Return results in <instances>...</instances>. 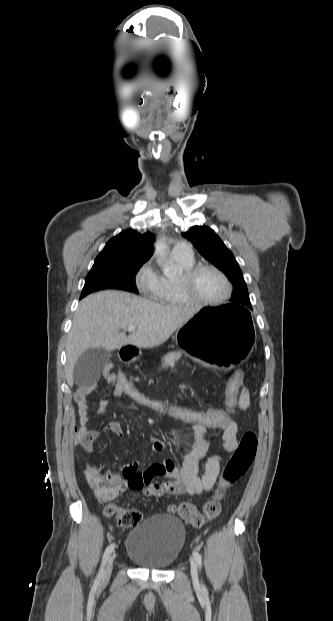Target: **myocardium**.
I'll list each match as a JSON object with an SVG mask.
<instances>
[{"label": "myocardium", "instance_id": "f54148a6", "mask_svg": "<svg viewBox=\"0 0 333 621\" xmlns=\"http://www.w3.org/2000/svg\"><path fill=\"white\" fill-rule=\"evenodd\" d=\"M213 271L219 275L226 284L227 290L224 296L218 300H203L194 293V282L196 277L203 271ZM179 285L183 296L190 304L200 306H217L226 303L232 295L233 285L227 275L218 267L210 264L194 265L190 269L181 273L179 277Z\"/></svg>", "mask_w": 333, "mask_h": 621}]
</instances>
